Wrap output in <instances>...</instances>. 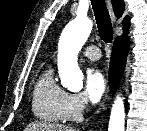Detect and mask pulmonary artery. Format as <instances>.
<instances>
[{"mask_svg":"<svg viewBox=\"0 0 147 131\" xmlns=\"http://www.w3.org/2000/svg\"><path fill=\"white\" fill-rule=\"evenodd\" d=\"M83 55L85 57H87L90 60H98L101 57V53L100 50L97 46L95 45H90L87 46L84 50H83Z\"/></svg>","mask_w":147,"mask_h":131,"instance_id":"1","label":"pulmonary artery"}]
</instances>
